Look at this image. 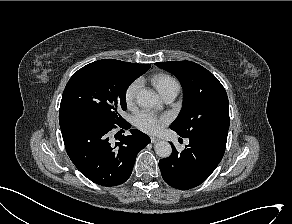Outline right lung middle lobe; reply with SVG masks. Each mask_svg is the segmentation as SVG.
<instances>
[{"mask_svg":"<svg viewBox=\"0 0 292 224\" xmlns=\"http://www.w3.org/2000/svg\"><path fill=\"white\" fill-rule=\"evenodd\" d=\"M138 77L128 62L103 59L90 63L68 81L59 116L80 114L104 126L121 125L125 120L120 113L127 109L126 90Z\"/></svg>","mask_w":292,"mask_h":224,"instance_id":"1","label":"right lung middle lobe"}]
</instances>
